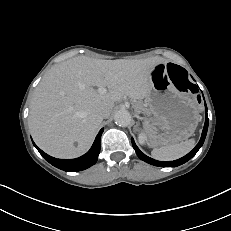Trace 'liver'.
<instances>
[{"label":"liver","mask_w":231,"mask_h":231,"mask_svg":"<svg viewBox=\"0 0 231 231\" xmlns=\"http://www.w3.org/2000/svg\"><path fill=\"white\" fill-rule=\"evenodd\" d=\"M159 63H165L164 59L78 56L55 65L32 98L28 120L35 143L56 158L81 156L91 147L102 122L98 110L111 112L125 96L133 100L146 98L151 90L150 71ZM92 86L108 90L101 94Z\"/></svg>","instance_id":"6515ba94"}]
</instances>
